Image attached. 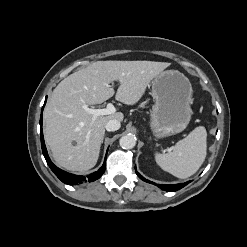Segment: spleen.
Here are the masks:
<instances>
[{"mask_svg":"<svg viewBox=\"0 0 247 247\" xmlns=\"http://www.w3.org/2000/svg\"><path fill=\"white\" fill-rule=\"evenodd\" d=\"M207 132L199 126L178 141L172 152L156 153L157 164L175 177L185 179L195 174L203 164L207 151Z\"/></svg>","mask_w":247,"mask_h":247,"instance_id":"3e777b00","label":"spleen"}]
</instances>
